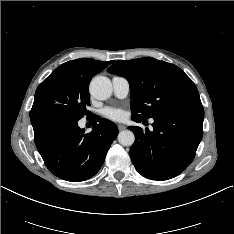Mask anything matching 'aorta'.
<instances>
[{
  "instance_id": "obj_1",
  "label": "aorta",
  "mask_w": 234,
  "mask_h": 234,
  "mask_svg": "<svg viewBox=\"0 0 234 234\" xmlns=\"http://www.w3.org/2000/svg\"><path fill=\"white\" fill-rule=\"evenodd\" d=\"M91 95L98 100H106L112 94V83L104 76L93 78L89 85ZM118 141L123 146H131L135 141V136L130 130H123L118 134Z\"/></svg>"
}]
</instances>
